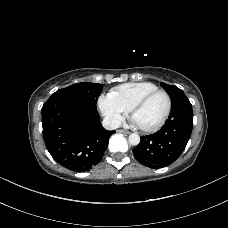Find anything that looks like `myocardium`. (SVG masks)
I'll list each match as a JSON object with an SVG mask.
<instances>
[{
  "label": "myocardium",
  "mask_w": 228,
  "mask_h": 228,
  "mask_svg": "<svg viewBox=\"0 0 228 228\" xmlns=\"http://www.w3.org/2000/svg\"><path fill=\"white\" fill-rule=\"evenodd\" d=\"M156 94H163L166 97L167 100V106H166V110L162 116V118L153 126L150 127H139L140 130L144 131V132H155L158 129H160L165 122L167 121L171 109H172V99L171 96L169 95V93L165 90L162 89H157L154 91H151L147 94H145L144 96H142L140 99H138L129 109V113L131 118H133V114L134 112L139 109L140 107H142L149 99H151L153 96H155Z\"/></svg>",
  "instance_id": "1"
}]
</instances>
